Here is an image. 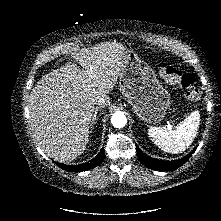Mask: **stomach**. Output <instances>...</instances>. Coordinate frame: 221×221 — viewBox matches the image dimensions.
I'll list each match as a JSON object with an SVG mask.
<instances>
[{
    "label": "stomach",
    "mask_w": 221,
    "mask_h": 221,
    "mask_svg": "<svg viewBox=\"0 0 221 221\" xmlns=\"http://www.w3.org/2000/svg\"><path fill=\"white\" fill-rule=\"evenodd\" d=\"M119 87L136 115L147 123L160 122L170 105V95L154 70L130 49L122 52Z\"/></svg>",
    "instance_id": "0dacf381"
}]
</instances>
